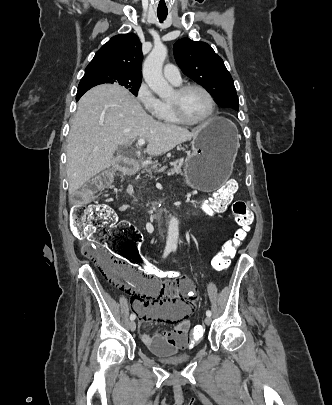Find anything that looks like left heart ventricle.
Masks as SVG:
<instances>
[{"instance_id": "b2bd125f", "label": "left heart ventricle", "mask_w": 332, "mask_h": 405, "mask_svg": "<svg viewBox=\"0 0 332 405\" xmlns=\"http://www.w3.org/2000/svg\"><path fill=\"white\" fill-rule=\"evenodd\" d=\"M178 99L176 92L170 101ZM183 114L190 120H198L206 116L210 110V102L207 96L198 89H190L179 98Z\"/></svg>"}]
</instances>
